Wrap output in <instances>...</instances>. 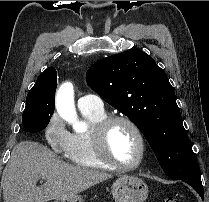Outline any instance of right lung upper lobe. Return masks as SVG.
I'll return each instance as SVG.
<instances>
[{
    "label": "right lung upper lobe",
    "mask_w": 209,
    "mask_h": 202,
    "mask_svg": "<svg viewBox=\"0 0 209 202\" xmlns=\"http://www.w3.org/2000/svg\"><path fill=\"white\" fill-rule=\"evenodd\" d=\"M46 80L54 83L57 87V73L54 67L47 68L41 75H39L36 82L38 83Z\"/></svg>",
    "instance_id": "right-lung-upper-lobe-1"
}]
</instances>
